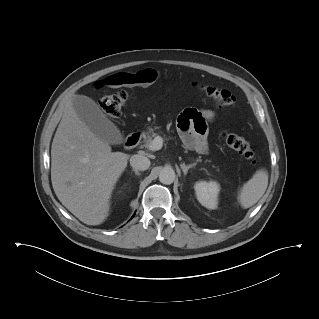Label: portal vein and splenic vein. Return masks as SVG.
<instances>
[{"label": "portal vein and splenic vein", "mask_w": 319, "mask_h": 319, "mask_svg": "<svg viewBox=\"0 0 319 319\" xmlns=\"http://www.w3.org/2000/svg\"><path fill=\"white\" fill-rule=\"evenodd\" d=\"M163 146V139L160 136H156L152 142L151 145L149 147L150 150L152 151H156V150H160Z\"/></svg>", "instance_id": "portal-vein-and-splenic-vein-1"}]
</instances>
